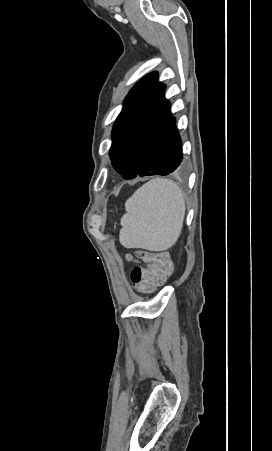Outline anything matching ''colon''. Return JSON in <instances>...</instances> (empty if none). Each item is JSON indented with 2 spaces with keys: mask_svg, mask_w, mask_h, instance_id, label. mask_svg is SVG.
Masks as SVG:
<instances>
[{
  "mask_svg": "<svg viewBox=\"0 0 272 451\" xmlns=\"http://www.w3.org/2000/svg\"><path fill=\"white\" fill-rule=\"evenodd\" d=\"M134 258H141L146 265H136L132 269L133 288L139 292H151L160 286L173 270L169 255L165 251L134 249Z\"/></svg>",
  "mask_w": 272,
  "mask_h": 451,
  "instance_id": "1",
  "label": "colon"
}]
</instances>
